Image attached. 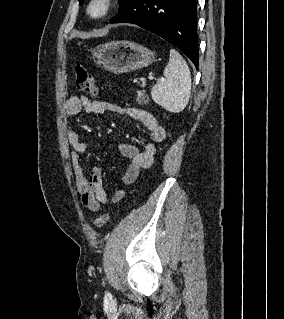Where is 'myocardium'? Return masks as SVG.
Here are the masks:
<instances>
[{
    "label": "myocardium",
    "mask_w": 284,
    "mask_h": 319,
    "mask_svg": "<svg viewBox=\"0 0 284 319\" xmlns=\"http://www.w3.org/2000/svg\"><path fill=\"white\" fill-rule=\"evenodd\" d=\"M115 0H89L86 5L87 16L95 21L105 19L112 11ZM97 6L98 11L94 12L93 8Z\"/></svg>",
    "instance_id": "f54148a6"
}]
</instances>
